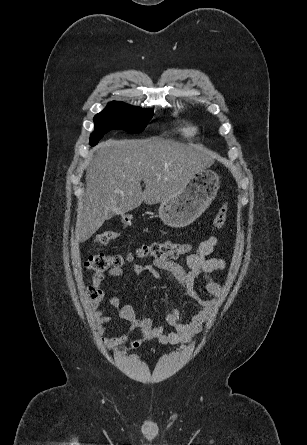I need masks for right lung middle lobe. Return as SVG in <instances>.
Segmentation results:
<instances>
[{
	"mask_svg": "<svg viewBox=\"0 0 307 445\" xmlns=\"http://www.w3.org/2000/svg\"><path fill=\"white\" fill-rule=\"evenodd\" d=\"M153 116V110L141 109L113 101L106 108L95 115V130L91 134L90 144L96 145L98 141L111 130H124L129 133H140L147 126Z\"/></svg>",
	"mask_w": 307,
	"mask_h": 445,
	"instance_id": "obj_1",
	"label": "right lung middle lobe"
}]
</instances>
